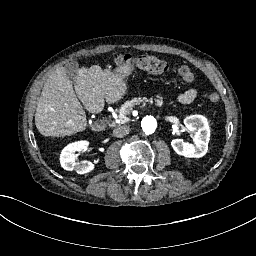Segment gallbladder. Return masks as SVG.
Returning a JSON list of instances; mask_svg holds the SVG:
<instances>
[{"instance_id":"1","label":"gallbladder","mask_w":256,"mask_h":256,"mask_svg":"<svg viewBox=\"0 0 256 256\" xmlns=\"http://www.w3.org/2000/svg\"><path fill=\"white\" fill-rule=\"evenodd\" d=\"M78 68L79 66L77 62H74V61L69 62L66 65L67 76H69L70 78H73L76 75Z\"/></svg>"}]
</instances>
